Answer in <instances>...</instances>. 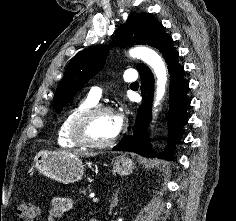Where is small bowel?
Wrapping results in <instances>:
<instances>
[{
	"mask_svg": "<svg viewBox=\"0 0 236 221\" xmlns=\"http://www.w3.org/2000/svg\"><path fill=\"white\" fill-rule=\"evenodd\" d=\"M74 207V201L67 197H54L48 211V221H57Z\"/></svg>",
	"mask_w": 236,
	"mask_h": 221,
	"instance_id": "small-bowel-1",
	"label": "small bowel"
}]
</instances>
